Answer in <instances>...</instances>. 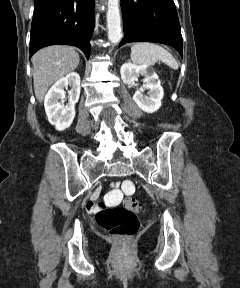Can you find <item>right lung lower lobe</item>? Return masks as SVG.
I'll return each mask as SVG.
<instances>
[{"mask_svg":"<svg viewBox=\"0 0 240 288\" xmlns=\"http://www.w3.org/2000/svg\"><path fill=\"white\" fill-rule=\"evenodd\" d=\"M95 0H35L31 25L30 56L56 44L80 48L90 56Z\"/></svg>","mask_w":240,"mask_h":288,"instance_id":"right-lung-lower-lobe-1","label":"right lung lower lobe"}]
</instances>
